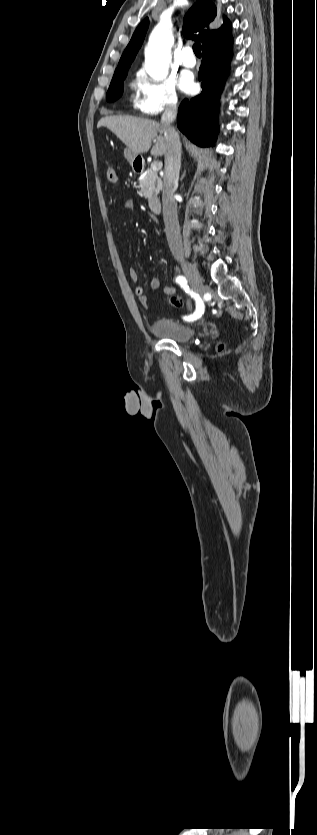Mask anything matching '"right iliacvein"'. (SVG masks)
Here are the masks:
<instances>
[{"instance_id": "obj_1", "label": "right iliac vein", "mask_w": 317, "mask_h": 835, "mask_svg": "<svg viewBox=\"0 0 317 835\" xmlns=\"http://www.w3.org/2000/svg\"><path fill=\"white\" fill-rule=\"evenodd\" d=\"M180 263H181V266H182L184 272L186 273L187 277L189 278L191 287L193 288L195 293L198 294V295H202L203 292H204V285H203L202 278H201L197 268L195 267V265H193L192 263L187 262L185 260H182V259L180 260Z\"/></svg>"}]
</instances>
